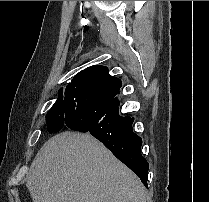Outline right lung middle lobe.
Returning a JSON list of instances; mask_svg holds the SVG:
<instances>
[{"label":"right lung middle lobe","instance_id":"obj_1","mask_svg":"<svg viewBox=\"0 0 209 202\" xmlns=\"http://www.w3.org/2000/svg\"><path fill=\"white\" fill-rule=\"evenodd\" d=\"M92 81L89 75H76L68 84L63 95V89L59 90V97L46 115V123L49 133H56L65 126V121L75 115L80 106V91Z\"/></svg>","mask_w":209,"mask_h":202}]
</instances>
